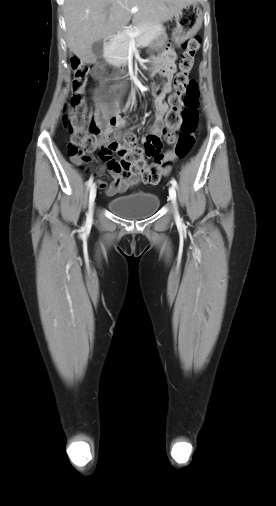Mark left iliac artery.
Wrapping results in <instances>:
<instances>
[{
  "mask_svg": "<svg viewBox=\"0 0 276 506\" xmlns=\"http://www.w3.org/2000/svg\"><path fill=\"white\" fill-rule=\"evenodd\" d=\"M171 184H172L174 187H176V188L178 187V185H177V181H176L174 178H172V180H171Z\"/></svg>",
  "mask_w": 276,
  "mask_h": 506,
  "instance_id": "left-iliac-artery-1",
  "label": "left iliac artery"
}]
</instances>
